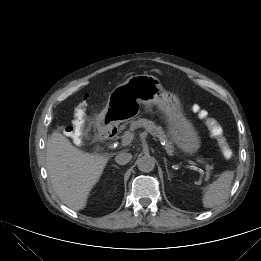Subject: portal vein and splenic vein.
<instances>
[{
  "label": "portal vein and splenic vein",
  "mask_w": 261,
  "mask_h": 261,
  "mask_svg": "<svg viewBox=\"0 0 261 261\" xmlns=\"http://www.w3.org/2000/svg\"><path fill=\"white\" fill-rule=\"evenodd\" d=\"M135 137V133L134 132H126L125 135L123 136V139H122V146H127L129 145L133 139ZM187 162L189 164H191L193 167H195V169L197 171H199L200 173H204L202 167L200 165H198L196 162L192 161V160H187Z\"/></svg>",
  "instance_id": "18ae733b"
}]
</instances>
